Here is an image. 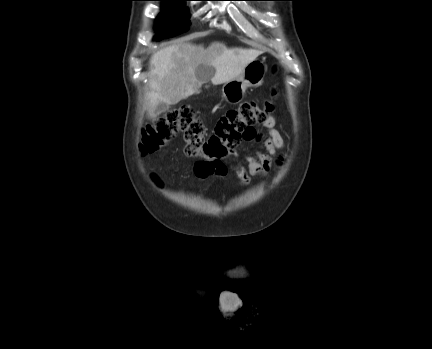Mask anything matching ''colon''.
Returning a JSON list of instances; mask_svg holds the SVG:
<instances>
[{
	"mask_svg": "<svg viewBox=\"0 0 432 349\" xmlns=\"http://www.w3.org/2000/svg\"><path fill=\"white\" fill-rule=\"evenodd\" d=\"M273 109L270 101H248L228 110L216 122L213 133L205 137L202 120L190 107H181L166 113L142 132L140 150L151 154L173 140L183 137L184 152L200 158L210 169L222 170L223 159L244 139L253 135V126L263 122Z\"/></svg>",
	"mask_w": 432,
	"mask_h": 349,
	"instance_id": "colon-1",
	"label": "colon"
}]
</instances>
